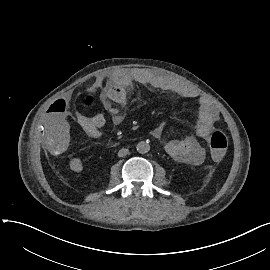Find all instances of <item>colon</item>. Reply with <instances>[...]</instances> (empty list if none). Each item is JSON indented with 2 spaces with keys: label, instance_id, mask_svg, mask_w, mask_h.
Here are the masks:
<instances>
[{
  "label": "colon",
  "instance_id": "1",
  "mask_svg": "<svg viewBox=\"0 0 270 270\" xmlns=\"http://www.w3.org/2000/svg\"><path fill=\"white\" fill-rule=\"evenodd\" d=\"M97 98L93 93H85L82 97L83 106L92 110L96 105ZM229 138L224 130H215L209 137V147L215 154L223 153L228 146Z\"/></svg>",
  "mask_w": 270,
  "mask_h": 270
}]
</instances>
